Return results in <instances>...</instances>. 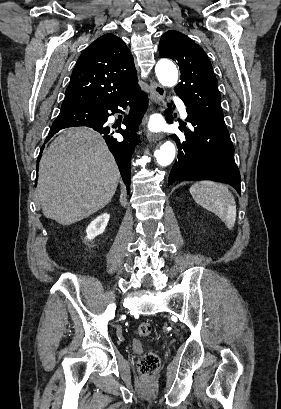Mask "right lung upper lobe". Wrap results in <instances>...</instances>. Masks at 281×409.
<instances>
[{
    "label": "right lung upper lobe",
    "instance_id": "obj_1",
    "mask_svg": "<svg viewBox=\"0 0 281 409\" xmlns=\"http://www.w3.org/2000/svg\"><path fill=\"white\" fill-rule=\"evenodd\" d=\"M133 57L122 39L105 34L78 58L66 89L65 106L96 105L139 88Z\"/></svg>",
    "mask_w": 281,
    "mask_h": 409
}]
</instances>
